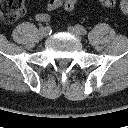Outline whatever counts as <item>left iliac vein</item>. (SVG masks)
I'll list each match as a JSON object with an SVG mask.
<instances>
[{"label": "left iliac vein", "instance_id": "obj_1", "mask_svg": "<svg viewBox=\"0 0 128 128\" xmlns=\"http://www.w3.org/2000/svg\"><path fill=\"white\" fill-rule=\"evenodd\" d=\"M68 31L72 33L74 36H76L78 39H81V33L78 31L76 27L69 26Z\"/></svg>", "mask_w": 128, "mask_h": 128}]
</instances>
